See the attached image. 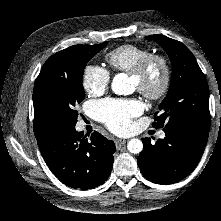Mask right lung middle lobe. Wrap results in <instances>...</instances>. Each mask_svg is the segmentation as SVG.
I'll use <instances>...</instances> for the list:
<instances>
[{"label": "right lung middle lobe", "mask_w": 221, "mask_h": 221, "mask_svg": "<svg viewBox=\"0 0 221 221\" xmlns=\"http://www.w3.org/2000/svg\"><path fill=\"white\" fill-rule=\"evenodd\" d=\"M76 45L70 51L51 56L36 79L33 96L50 112L56 126H75V106L85 98L83 71L89 60L106 46Z\"/></svg>", "instance_id": "obj_1"}]
</instances>
